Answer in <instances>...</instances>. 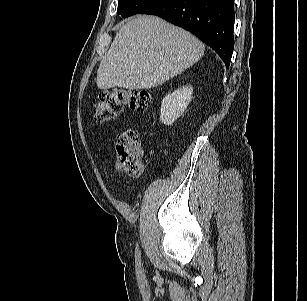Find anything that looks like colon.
<instances>
[{"mask_svg": "<svg viewBox=\"0 0 307 301\" xmlns=\"http://www.w3.org/2000/svg\"><path fill=\"white\" fill-rule=\"evenodd\" d=\"M151 96L141 89H121L103 92L94 105V119L98 122H110L123 112L125 107L144 112ZM117 167L120 172L131 176L142 173L143 151L137 132L127 130L118 136L115 145Z\"/></svg>", "mask_w": 307, "mask_h": 301, "instance_id": "obj_1", "label": "colon"}]
</instances>
